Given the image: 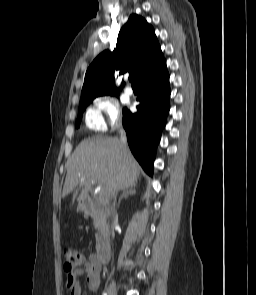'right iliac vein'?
Instances as JSON below:
<instances>
[{
    "label": "right iliac vein",
    "instance_id": "1",
    "mask_svg": "<svg viewBox=\"0 0 256 295\" xmlns=\"http://www.w3.org/2000/svg\"><path fill=\"white\" fill-rule=\"evenodd\" d=\"M108 295H117L114 281L111 282L108 288Z\"/></svg>",
    "mask_w": 256,
    "mask_h": 295
}]
</instances>
